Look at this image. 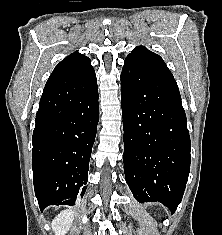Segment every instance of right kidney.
Listing matches in <instances>:
<instances>
[{
    "mask_svg": "<svg viewBox=\"0 0 222 235\" xmlns=\"http://www.w3.org/2000/svg\"><path fill=\"white\" fill-rule=\"evenodd\" d=\"M74 220V212L72 210H64L57 215L52 221V230L55 235H65L72 226Z\"/></svg>",
    "mask_w": 222,
    "mask_h": 235,
    "instance_id": "1",
    "label": "right kidney"
}]
</instances>
